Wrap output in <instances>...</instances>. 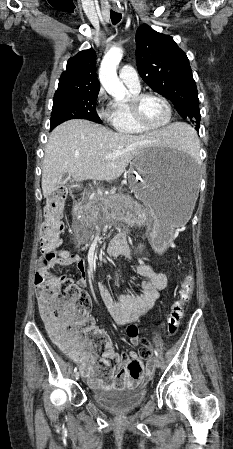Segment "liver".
I'll return each mask as SVG.
<instances>
[{
    "label": "liver",
    "mask_w": 233,
    "mask_h": 449,
    "mask_svg": "<svg viewBox=\"0 0 233 449\" xmlns=\"http://www.w3.org/2000/svg\"><path fill=\"white\" fill-rule=\"evenodd\" d=\"M183 135L182 124L141 135L112 130L87 120H69L49 135L42 166L43 196H50L69 173L74 181L87 179L111 181L120 177L128 164L143 149L166 147ZM114 154L110 160L104 157Z\"/></svg>",
    "instance_id": "6515ba94"
}]
</instances>
